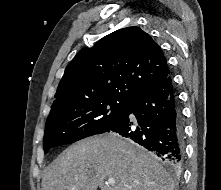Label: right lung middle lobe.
<instances>
[{
    "instance_id": "obj_1",
    "label": "right lung middle lobe",
    "mask_w": 221,
    "mask_h": 190,
    "mask_svg": "<svg viewBox=\"0 0 221 190\" xmlns=\"http://www.w3.org/2000/svg\"><path fill=\"white\" fill-rule=\"evenodd\" d=\"M125 100L103 98L50 111L45 125V153L52 147L74 143L112 129L123 117Z\"/></svg>"
}]
</instances>
